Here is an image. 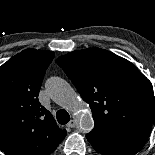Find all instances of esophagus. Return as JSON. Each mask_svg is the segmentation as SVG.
<instances>
[{"instance_id":"esophagus-1","label":"esophagus","mask_w":155,"mask_h":155,"mask_svg":"<svg viewBox=\"0 0 155 155\" xmlns=\"http://www.w3.org/2000/svg\"><path fill=\"white\" fill-rule=\"evenodd\" d=\"M77 124H78L77 120L73 119L67 123V127L74 128L77 126Z\"/></svg>"}]
</instances>
